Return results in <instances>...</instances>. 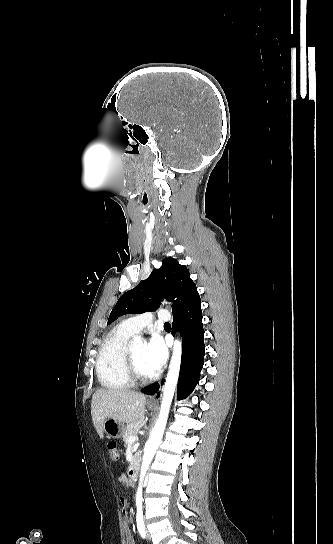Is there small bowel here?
I'll list each match as a JSON object with an SVG mask.
<instances>
[{
  "mask_svg": "<svg viewBox=\"0 0 333 544\" xmlns=\"http://www.w3.org/2000/svg\"><path fill=\"white\" fill-rule=\"evenodd\" d=\"M118 482L121 485L125 486V487H131L132 486V482L123 474L119 476ZM120 506H121L123 516L126 517V515H127V511H126L127 501H126V499H124V498L120 499ZM126 542H127V544H134L133 535L129 531L126 532Z\"/></svg>",
  "mask_w": 333,
  "mask_h": 544,
  "instance_id": "1",
  "label": "small bowel"
}]
</instances>
